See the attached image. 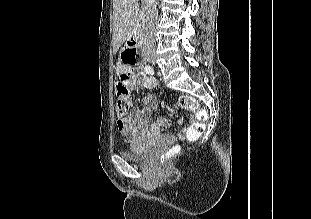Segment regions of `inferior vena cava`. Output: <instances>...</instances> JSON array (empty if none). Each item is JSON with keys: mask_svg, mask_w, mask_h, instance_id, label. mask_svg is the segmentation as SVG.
I'll use <instances>...</instances> for the list:
<instances>
[{"mask_svg": "<svg viewBox=\"0 0 311 219\" xmlns=\"http://www.w3.org/2000/svg\"><path fill=\"white\" fill-rule=\"evenodd\" d=\"M144 3L143 11L146 17V27L143 39V52L154 51L155 49V26L157 23V9L155 0H142Z\"/></svg>", "mask_w": 311, "mask_h": 219, "instance_id": "inferior-vena-cava-1", "label": "inferior vena cava"}]
</instances>
